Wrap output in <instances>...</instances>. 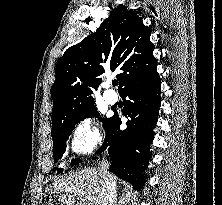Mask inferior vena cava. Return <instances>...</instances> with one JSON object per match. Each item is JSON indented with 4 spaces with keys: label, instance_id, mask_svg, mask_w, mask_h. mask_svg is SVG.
<instances>
[{
    "label": "inferior vena cava",
    "instance_id": "602c4592",
    "mask_svg": "<svg viewBox=\"0 0 222 205\" xmlns=\"http://www.w3.org/2000/svg\"><path fill=\"white\" fill-rule=\"evenodd\" d=\"M108 169L109 162L103 159L98 166L99 174L103 179V190L100 195L99 205H113L116 198V184L111 180Z\"/></svg>",
    "mask_w": 222,
    "mask_h": 205
}]
</instances>
